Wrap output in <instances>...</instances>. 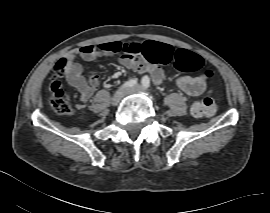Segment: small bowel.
Masks as SVG:
<instances>
[{
    "label": "small bowel",
    "instance_id": "1",
    "mask_svg": "<svg viewBox=\"0 0 270 213\" xmlns=\"http://www.w3.org/2000/svg\"><path fill=\"white\" fill-rule=\"evenodd\" d=\"M105 45L106 44H88L70 50L56 64L57 69L64 71L67 83L78 90L82 102H87L91 99L100 84V79L94 74H84L82 65L76 62L75 59L79 57L85 61H93L108 57L110 53L105 49ZM148 49L151 57L160 62L170 61L176 54V50L171 45L158 42H152ZM120 63L124 67L138 73L149 71L156 84L163 81L164 72L157 65H147L143 61L134 60L129 55H123L120 58ZM207 81L208 79L203 74H200L197 76H180L176 79L175 83L180 90L189 96H198L206 90Z\"/></svg>",
    "mask_w": 270,
    "mask_h": 213
}]
</instances>
